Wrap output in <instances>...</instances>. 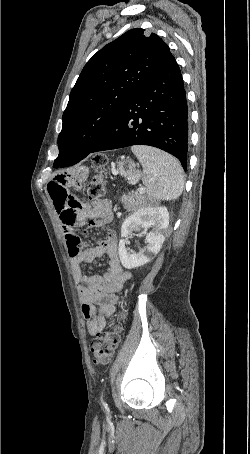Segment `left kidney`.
<instances>
[{
  "label": "left kidney",
  "instance_id": "5707ae66",
  "mask_svg": "<svg viewBox=\"0 0 250 454\" xmlns=\"http://www.w3.org/2000/svg\"><path fill=\"white\" fill-rule=\"evenodd\" d=\"M168 226L169 213L163 206H143L126 218L121 226V240L118 247L123 267L132 269L149 262L160 251ZM151 227L152 231L148 233ZM133 231H141L140 236H146L147 245L138 253H130L125 245L124 238Z\"/></svg>",
  "mask_w": 250,
  "mask_h": 454
}]
</instances>
